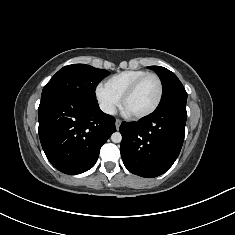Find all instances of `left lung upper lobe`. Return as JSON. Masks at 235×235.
<instances>
[{
  "label": "left lung upper lobe",
  "mask_w": 235,
  "mask_h": 235,
  "mask_svg": "<svg viewBox=\"0 0 235 235\" xmlns=\"http://www.w3.org/2000/svg\"><path fill=\"white\" fill-rule=\"evenodd\" d=\"M148 68L158 74L163 86L162 99L157 109L172 104L186 105L187 93L182 83L173 72L161 66H149Z\"/></svg>",
  "instance_id": "left-lung-upper-lobe-1"
}]
</instances>
